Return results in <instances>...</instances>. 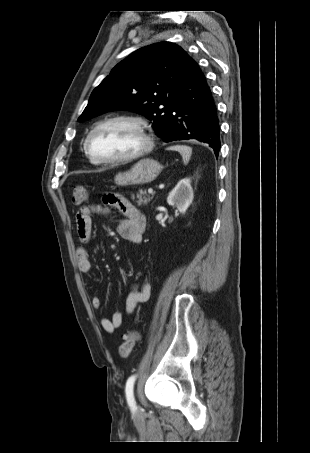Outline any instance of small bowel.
<instances>
[{
  "mask_svg": "<svg viewBox=\"0 0 310 453\" xmlns=\"http://www.w3.org/2000/svg\"><path fill=\"white\" fill-rule=\"evenodd\" d=\"M105 204L119 210L123 218L118 225V233L121 238L133 245H139L142 242L143 233L146 227V218L135 206L126 198L120 195H108L105 197ZM102 209L98 206H83L76 213V229L81 246L77 249L78 267L82 274L90 276L92 274V264L89 259V253L86 245L92 238V214L98 213ZM151 294V285L145 279L140 286L134 285L132 291L128 294L125 303V311L132 314L138 304L146 302ZM95 309H100L102 302L97 294H93L91 299ZM123 313L117 311L109 318L101 320L102 328L112 333L123 323Z\"/></svg>",
  "mask_w": 310,
  "mask_h": 453,
  "instance_id": "small-bowel-1",
  "label": "small bowel"
}]
</instances>
